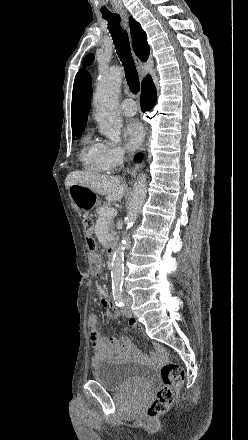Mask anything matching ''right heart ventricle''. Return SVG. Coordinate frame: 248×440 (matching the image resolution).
<instances>
[{"label": "right heart ventricle", "instance_id": "1", "mask_svg": "<svg viewBox=\"0 0 248 440\" xmlns=\"http://www.w3.org/2000/svg\"><path fill=\"white\" fill-rule=\"evenodd\" d=\"M80 160L83 167L92 173L110 171L103 160L101 143L96 142L90 136L83 139Z\"/></svg>", "mask_w": 248, "mask_h": 440}]
</instances>
